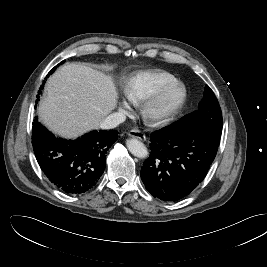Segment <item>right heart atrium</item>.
<instances>
[{
  "label": "right heart atrium",
  "mask_w": 267,
  "mask_h": 267,
  "mask_svg": "<svg viewBox=\"0 0 267 267\" xmlns=\"http://www.w3.org/2000/svg\"><path fill=\"white\" fill-rule=\"evenodd\" d=\"M128 108V104L125 101H122L120 103V109L121 110H126Z\"/></svg>",
  "instance_id": "d8ad5b80"
}]
</instances>
